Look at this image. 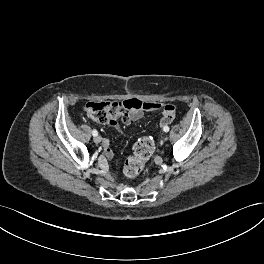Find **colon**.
Here are the masks:
<instances>
[{
    "mask_svg": "<svg viewBox=\"0 0 264 264\" xmlns=\"http://www.w3.org/2000/svg\"><path fill=\"white\" fill-rule=\"evenodd\" d=\"M122 109H125L122 102H89L85 106V113L94 121L115 125L119 121H128L127 113H123ZM168 120L169 118L164 122ZM153 151L154 143L151 137H141L134 145L133 154L125 162L124 175L129 179L137 177Z\"/></svg>",
    "mask_w": 264,
    "mask_h": 264,
    "instance_id": "5ec220e1",
    "label": "colon"
}]
</instances>
